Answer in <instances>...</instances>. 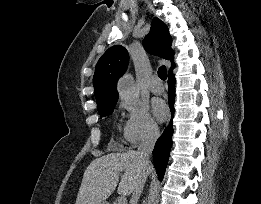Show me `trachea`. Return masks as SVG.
Instances as JSON below:
<instances>
[{"label": "trachea", "mask_w": 261, "mask_h": 204, "mask_svg": "<svg viewBox=\"0 0 261 204\" xmlns=\"http://www.w3.org/2000/svg\"><path fill=\"white\" fill-rule=\"evenodd\" d=\"M158 76L162 80H166L167 78V70L165 66H161L158 70Z\"/></svg>", "instance_id": "3493384b"}]
</instances>
